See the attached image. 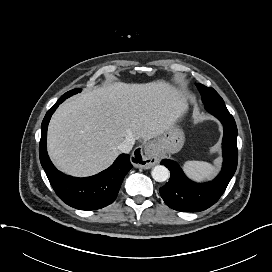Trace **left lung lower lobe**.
<instances>
[{
  "mask_svg": "<svg viewBox=\"0 0 272 272\" xmlns=\"http://www.w3.org/2000/svg\"><path fill=\"white\" fill-rule=\"evenodd\" d=\"M205 108L218 118L224 127L222 170L210 182L195 183L185 176L176 162L162 160L161 164L170 170L171 176L168 183L160 188V195L169 207L177 211L199 212L215 204L224 193L237 168V127L233 116L225 104H214Z\"/></svg>",
  "mask_w": 272,
  "mask_h": 272,
  "instance_id": "1",
  "label": "left lung lower lobe"
}]
</instances>
